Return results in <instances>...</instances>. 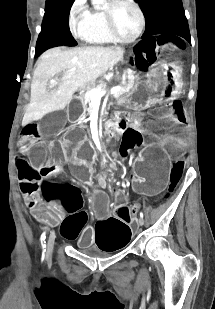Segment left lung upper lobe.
<instances>
[{
	"instance_id": "left-lung-upper-lobe-1",
	"label": "left lung upper lobe",
	"mask_w": 215,
	"mask_h": 309,
	"mask_svg": "<svg viewBox=\"0 0 215 309\" xmlns=\"http://www.w3.org/2000/svg\"><path fill=\"white\" fill-rule=\"evenodd\" d=\"M137 1L146 19V29L142 38L158 34H174L183 37L191 43L182 0Z\"/></svg>"
}]
</instances>
